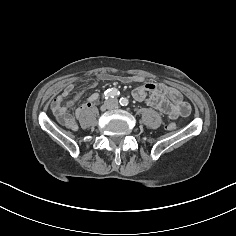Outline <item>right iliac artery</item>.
<instances>
[{
	"mask_svg": "<svg viewBox=\"0 0 236 236\" xmlns=\"http://www.w3.org/2000/svg\"><path fill=\"white\" fill-rule=\"evenodd\" d=\"M119 95H120V92L116 88H111V89H107L104 92L103 98L105 99L114 98V97H118Z\"/></svg>",
	"mask_w": 236,
	"mask_h": 236,
	"instance_id": "82829eb1",
	"label": "right iliac artery"
}]
</instances>
